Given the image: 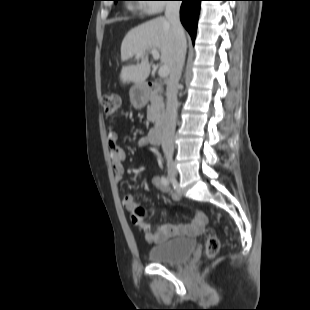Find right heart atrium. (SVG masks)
I'll return each instance as SVG.
<instances>
[{"instance_id": "d8ad5b80", "label": "right heart atrium", "mask_w": 310, "mask_h": 310, "mask_svg": "<svg viewBox=\"0 0 310 310\" xmlns=\"http://www.w3.org/2000/svg\"><path fill=\"white\" fill-rule=\"evenodd\" d=\"M152 1V4H148L145 7V10L152 13L161 12L164 9V1L166 0H148Z\"/></svg>"}]
</instances>
